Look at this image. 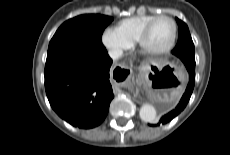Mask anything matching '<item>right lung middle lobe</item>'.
<instances>
[{"mask_svg": "<svg viewBox=\"0 0 230 155\" xmlns=\"http://www.w3.org/2000/svg\"><path fill=\"white\" fill-rule=\"evenodd\" d=\"M112 17L99 14L80 15L64 22L49 43L47 59L74 52H102L101 36Z\"/></svg>", "mask_w": 230, "mask_h": 155, "instance_id": "dd1d6c3e", "label": "right lung middle lobe"}]
</instances>
